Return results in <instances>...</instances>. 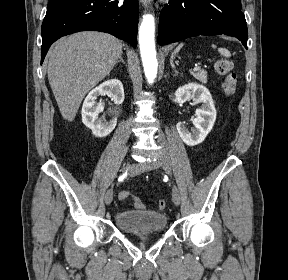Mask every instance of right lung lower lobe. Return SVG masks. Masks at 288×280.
Returning <instances> with one entry per match:
<instances>
[{
	"mask_svg": "<svg viewBox=\"0 0 288 280\" xmlns=\"http://www.w3.org/2000/svg\"><path fill=\"white\" fill-rule=\"evenodd\" d=\"M138 0H51L42 24L41 64L53 42L78 31L110 33L137 46Z\"/></svg>",
	"mask_w": 288,
	"mask_h": 280,
	"instance_id": "right-lung-lower-lobe-1",
	"label": "right lung lower lobe"
}]
</instances>
